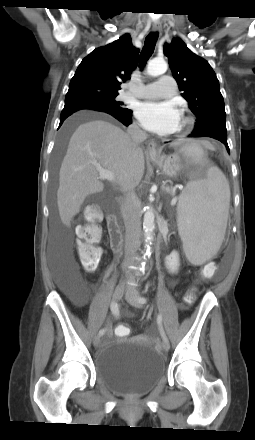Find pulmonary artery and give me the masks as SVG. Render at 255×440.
I'll return each instance as SVG.
<instances>
[{"mask_svg":"<svg viewBox=\"0 0 255 440\" xmlns=\"http://www.w3.org/2000/svg\"><path fill=\"white\" fill-rule=\"evenodd\" d=\"M176 91V83L170 75H162L157 82L146 84L140 89H130L125 97L142 99H159L173 96Z\"/></svg>","mask_w":255,"mask_h":440,"instance_id":"obj_1","label":"pulmonary artery"}]
</instances>
